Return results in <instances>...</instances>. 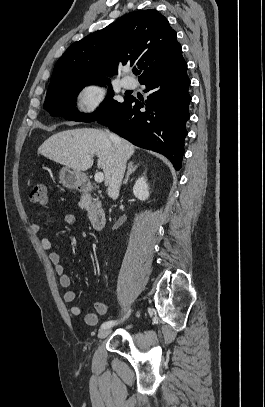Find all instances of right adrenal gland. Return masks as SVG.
<instances>
[{
	"mask_svg": "<svg viewBox=\"0 0 265 407\" xmlns=\"http://www.w3.org/2000/svg\"><path fill=\"white\" fill-rule=\"evenodd\" d=\"M137 168H138V165H134V162H133V161H130V162L128 163V171H127V174H126L125 179H124V181H123V184H125V185L127 184L130 175H131Z\"/></svg>",
	"mask_w": 265,
	"mask_h": 407,
	"instance_id": "2a0ac1e0",
	"label": "right adrenal gland"
}]
</instances>
